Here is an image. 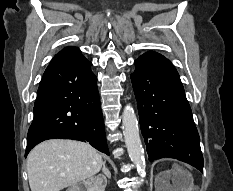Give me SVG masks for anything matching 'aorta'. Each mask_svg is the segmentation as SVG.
I'll list each match as a JSON object with an SVG mask.
<instances>
[{
    "label": "aorta",
    "mask_w": 233,
    "mask_h": 191,
    "mask_svg": "<svg viewBox=\"0 0 233 191\" xmlns=\"http://www.w3.org/2000/svg\"><path fill=\"white\" fill-rule=\"evenodd\" d=\"M123 135L126 148L131 161L136 165L137 170L145 174V157L142 147L138 121L134 109L130 105H126L122 114Z\"/></svg>",
    "instance_id": "obj_1"
}]
</instances>
